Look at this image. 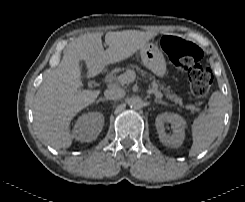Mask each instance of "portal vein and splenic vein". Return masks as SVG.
Segmentation results:
<instances>
[{"instance_id":"18ae733b","label":"portal vein and splenic vein","mask_w":245,"mask_h":202,"mask_svg":"<svg viewBox=\"0 0 245 202\" xmlns=\"http://www.w3.org/2000/svg\"><path fill=\"white\" fill-rule=\"evenodd\" d=\"M135 78H136L135 72L132 70H128L125 73L119 75L116 80L121 84H127V83L133 82L135 80ZM153 92L157 98L163 97V95L160 91L154 89Z\"/></svg>"}]
</instances>
